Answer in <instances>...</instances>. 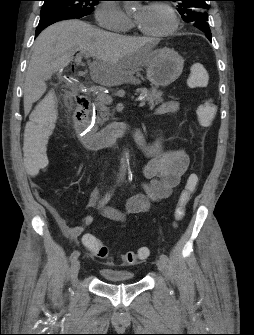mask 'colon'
Wrapping results in <instances>:
<instances>
[{"label": "colon", "mask_w": 254, "mask_h": 335, "mask_svg": "<svg viewBox=\"0 0 254 335\" xmlns=\"http://www.w3.org/2000/svg\"><path fill=\"white\" fill-rule=\"evenodd\" d=\"M190 73L187 78V85L192 88H201L206 86L209 75L205 68L195 63L190 66ZM197 117L203 127H208L216 115V104L207 99L201 102L196 109ZM58 115V102L53 98L45 99L34 111L31 121L27 124L24 131L23 149L21 161H23L22 171L28 172L29 178H44L48 170L49 151L47 139L55 127ZM199 178L192 174L188 177L184 188L178 195L177 202L173 211L175 224L183 221L185 218L186 207L197 189ZM85 246L96 256L106 258L108 248L95 237H86ZM149 256V250L146 247L138 251H128L121 256L123 265L132 266L145 260Z\"/></svg>", "instance_id": "1"}]
</instances>
